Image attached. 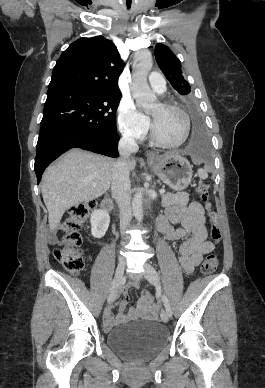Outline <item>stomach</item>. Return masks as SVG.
<instances>
[{"instance_id": "stomach-1", "label": "stomach", "mask_w": 265, "mask_h": 388, "mask_svg": "<svg viewBox=\"0 0 265 388\" xmlns=\"http://www.w3.org/2000/svg\"><path fill=\"white\" fill-rule=\"evenodd\" d=\"M148 165L173 190H183L191 182L192 167L186 158L177 153L152 156Z\"/></svg>"}]
</instances>
